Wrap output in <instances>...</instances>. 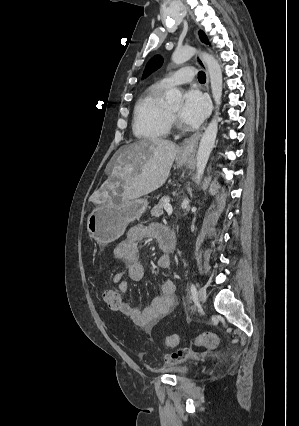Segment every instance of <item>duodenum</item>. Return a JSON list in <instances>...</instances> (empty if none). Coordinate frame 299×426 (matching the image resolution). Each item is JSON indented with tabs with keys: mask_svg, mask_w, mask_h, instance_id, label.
Here are the masks:
<instances>
[{
	"mask_svg": "<svg viewBox=\"0 0 299 426\" xmlns=\"http://www.w3.org/2000/svg\"><path fill=\"white\" fill-rule=\"evenodd\" d=\"M176 247L175 234L168 228H164L161 233L160 248L166 253H172Z\"/></svg>",
	"mask_w": 299,
	"mask_h": 426,
	"instance_id": "obj_1",
	"label": "duodenum"
}]
</instances>
